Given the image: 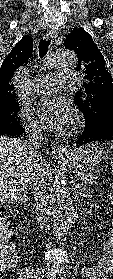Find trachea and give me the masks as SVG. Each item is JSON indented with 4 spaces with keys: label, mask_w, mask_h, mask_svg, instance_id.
<instances>
[{
    "label": "trachea",
    "mask_w": 113,
    "mask_h": 279,
    "mask_svg": "<svg viewBox=\"0 0 113 279\" xmlns=\"http://www.w3.org/2000/svg\"><path fill=\"white\" fill-rule=\"evenodd\" d=\"M50 42H51V39L45 40V39L42 38L40 40L39 46H38L40 58H43L47 54Z\"/></svg>",
    "instance_id": "3493384b"
}]
</instances>
